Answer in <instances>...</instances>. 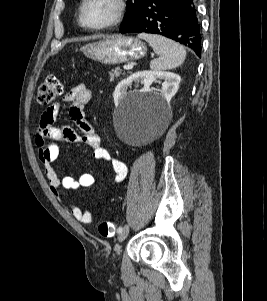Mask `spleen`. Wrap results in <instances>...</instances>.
Instances as JSON below:
<instances>
[{
  "instance_id": "3e777b00",
  "label": "spleen",
  "mask_w": 267,
  "mask_h": 301,
  "mask_svg": "<svg viewBox=\"0 0 267 301\" xmlns=\"http://www.w3.org/2000/svg\"><path fill=\"white\" fill-rule=\"evenodd\" d=\"M149 43L159 58L150 63V68L154 71H164L180 66L185 58L186 51L178 43L163 36L141 33L138 35Z\"/></svg>"
}]
</instances>
